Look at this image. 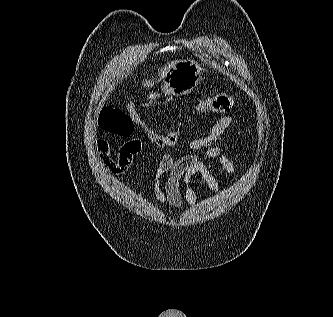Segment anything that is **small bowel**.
I'll list each match as a JSON object with an SVG mask.
<instances>
[{"label": "small bowel", "instance_id": "small-bowel-1", "mask_svg": "<svg viewBox=\"0 0 333 317\" xmlns=\"http://www.w3.org/2000/svg\"><path fill=\"white\" fill-rule=\"evenodd\" d=\"M235 121V117L231 115L219 118L204 136L189 141L188 147L193 152L191 154L177 159L169 153L161 156L154 178V194L161 206L168 205L180 209L186 202L188 206L193 207L197 199L192 185L195 176H199L213 193H220L216 178L196 154L201 149L206 148L207 158L216 162L226 173L236 175V166L226 156V148L216 145ZM96 149L102 163L111 173L122 174L130 168L134 157L141 152L142 142L137 138L128 139L119 147L115 156L112 155L106 140L98 139Z\"/></svg>", "mask_w": 333, "mask_h": 317}]
</instances>
